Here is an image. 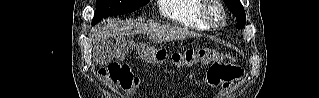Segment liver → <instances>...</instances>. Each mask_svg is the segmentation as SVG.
<instances>
[{
    "mask_svg": "<svg viewBox=\"0 0 319 98\" xmlns=\"http://www.w3.org/2000/svg\"><path fill=\"white\" fill-rule=\"evenodd\" d=\"M138 33L151 35L153 40L156 42L181 40L196 36L195 33L176 26L140 22L121 24L115 21H110L96 30L93 43L96 48V46L105 43L113 36L134 35Z\"/></svg>",
    "mask_w": 319,
    "mask_h": 98,
    "instance_id": "liver-1",
    "label": "liver"
}]
</instances>
